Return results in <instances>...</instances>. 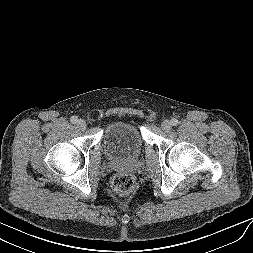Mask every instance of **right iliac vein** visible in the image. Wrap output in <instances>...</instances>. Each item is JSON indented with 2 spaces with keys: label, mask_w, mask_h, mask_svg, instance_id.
<instances>
[{
  "label": "right iliac vein",
  "mask_w": 253,
  "mask_h": 253,
  "mask_svg": "<svg viewBox=\"0 0 253 253\" xmlns=\"http://www.w3.org/2000/svg\"><path fill=\"white\" fill-rule=\"evenodd\" d=\"M77 127L80 129V130H85L87 125H86V122L83 120V119H80L77 121Z\"/></svg>",
  "instance_id": "right-iliac-vein-1"
}]
</instances>
